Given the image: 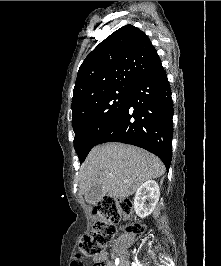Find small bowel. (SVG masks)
I'll return each mask as SVG.
<instances>
[{"label":"small bowel","mask_w":221,"mask_h":266,"mask_svg":"<svg viewBox=\"0 0 221 266\" xmlns=\"http://www.w3.org/2000/svg\"><path fill=\"white\" fill-rule=\"evenodd\" d=\"M72 257L75 258H71L70 266H84V264L82 263V258H79L83 257V252H72ZM106 259H107L106 252H102L99 256L94 258L95 261H103V262L106 261ZM106 266H112V263L107 262Z\"/></svg>","instance_id":"obj_1"}]
</instances>
